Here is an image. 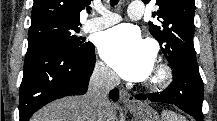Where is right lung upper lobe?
<instances>
[{
  "mask_svg": "<svg viewBox=\"0 0 217 121\" xmlns=\"http://www.w3.org/2000/svg\"><path fill=\"white\" fill-rule=\"evenodd\" d=\"M91 0H34L31 22L56 19L81 24L80 12Z\"/></svg>",
  "mask_w": 217,
  "mask_h": 121,
  "instance_id": "obj_1",
  "label": "right lung upper lobe"
}]
</instances>
